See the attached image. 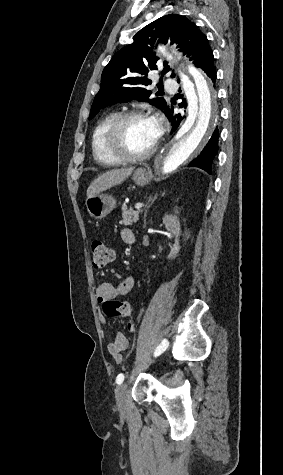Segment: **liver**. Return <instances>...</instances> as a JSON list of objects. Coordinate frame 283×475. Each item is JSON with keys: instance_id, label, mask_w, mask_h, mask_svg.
Listing matches in <instances>:
<instances>
[{"instance_id": "1", "label": "liver", "mask_w": 283, "mask_h": 475, "mask_svg": "<svg viewBox=\"0 0 283 475\" xmlns=\"http://www.w3.org/2000/svg\"><path fill=\"white\" fill-rule=\"evenodd\" d=\"M134 168H121V170H110L106 174H102L99 178H96L94 182H91L87 190V198H93V196H98L104 190H109L113 186H118L124 180L129 178L132 174Z\"/></svg>"}]
</instances>
